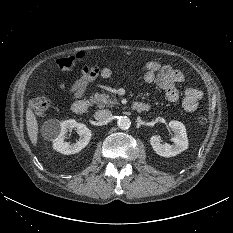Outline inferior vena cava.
<instances>
[{
  "label": "inferior vena cava",
  "instance_id": "1",
  "mask_svg": "<svg viewBox=\"0 0 233 233\" xmlns=\"http://www.w3.org/2000/svg\"><path fill=\"white\" fill-rule=\"evenodd\" d=\"M111 116H112L111 111L106 110V109L98 110L94 114L95 119L98 121H102V122L109 120L111 118Z\"/></svg>",
  "mask_w": 233,
  "mask_h": 233
}]
</instances>
